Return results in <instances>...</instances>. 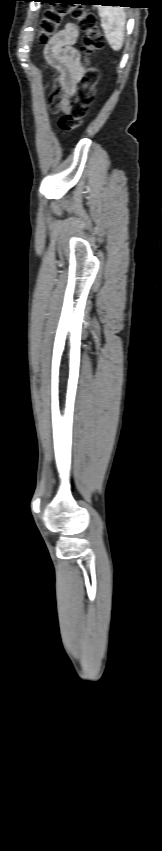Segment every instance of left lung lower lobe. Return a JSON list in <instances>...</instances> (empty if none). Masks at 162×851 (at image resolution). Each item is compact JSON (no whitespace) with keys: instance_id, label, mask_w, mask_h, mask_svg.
<instances>
[{"instance_id":"0a47b994","label":"left lung lower lobe","mask_w":162,"mask_h":851,"mask_svg":"<svg viewBox=\"0 0 162 851\" xmlns=\"http://www.w3.org/2000/svg\"><path fill=\"white\" fill-rule=\"evenodd\" d=\"M45 2L55 3L56 1L55 0H45ZM83 2H89V3H100L101 2V3L106 4V5L108 4V5L123 6L122 4L129 3L130 1L129 0H71L70 2H64V3H82V4H84Z\"/></svg>"}]
</instances>
